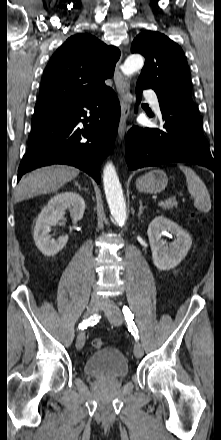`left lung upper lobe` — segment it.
Returning <instances> with one entry per match:
<instances>
[{
    "label": "left lung upper lobe",
    "mask_w": 221,
    "mask_h": 440,
    "mask_svg": "<svg viewBox=\"0 0 221 440\" xmlns=\"http://www.w3.org/2000/svg\"><path fill=\"white\" fill-rule=\"evenodd\" d=\"M131 52L146 59L137 84L153 89L161 101L197 112L189 67L179 45L164 34L144 31L133 40Z\"/></svg>",
    "instance_id": "5c2ea615"
}]
</instances>
